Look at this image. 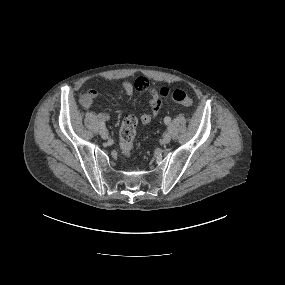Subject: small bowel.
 Instances as JSON below:
<instances>
[{
    "label": "small bowel",
    "instance_id": "c3829d8e",
    "mask_svg": "<svg viewBox=\"0 0 285 285\" xmlns=\"http://www.w3.org/2000/svg\"><path fill=\"white\" fill-rule=\"evenodd\" d=\"M120 91L126 95H132L135 91L148 92L150 95L148 111L142 114L140 117V124L143 126L149 124L159 114L163 105V99L170 94V89L166 87L157 88L151 85L149 82L143 89H137L136 86H133L130 82H123ZM98 95L99 93L97 90H88L81 97L82 106L85 109H89L93 105ZM98 118L101 122H106L109 120V115L102 112L98 114Z\"/></svg>",
    "mask_w": 285,
    "mask_h": 285
}]
</instances>
